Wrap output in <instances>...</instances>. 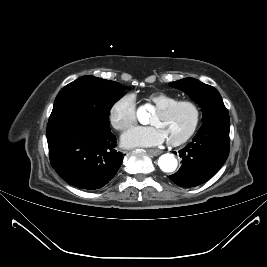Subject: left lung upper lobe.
Here are the masks:
<instances>
[{
	"instance_id": "1",
	"label": "left lung upper lobe",
	"mask_w": 267,
	"mask_h": 267,
	"mask_svg": "<svg viewBox=\"0 0 267 267\" xmlns=\"http://www.w3.org/2000/svg\"><path fill=\"white\" fill-rule=\"evenodd\" d=\"M171 87L184 91L197 102L203 111L202 122L229 119L219 92L212 86L204 84L194 78H185L169 83Z\"/></svg>"
}]
</instances>
